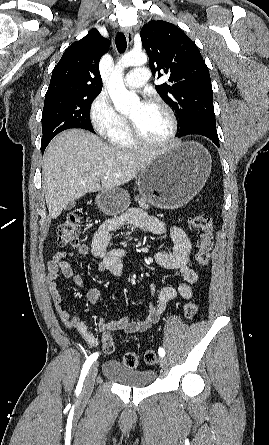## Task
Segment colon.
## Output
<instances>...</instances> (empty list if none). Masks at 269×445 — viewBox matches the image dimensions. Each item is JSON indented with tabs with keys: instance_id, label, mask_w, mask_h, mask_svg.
Listing matches in <instances>:
<instances>
[{
	"instance_id": "obj_1",
	"label": "colon",
	"mask_w": 269,
	"mask_h": 445,
	"mask_svg": "<svg viewBox=\"0 0 269 445\" xmlns=\"http://www.w3.org/2000/svg\"><path fill=\"white\" fill-rule=\"evenodd\" d=\"M84 217V211L77 209L68 212L62 222L57 228V240L58 244L62 247L76 246L79 243L81 235V224ZM190 225L195 230L200 232V238L197 243L196 261L198 265L205 268L211 257V251L213 248V231L214 224L209 216L198 214L194 215L190 219ZM198 311V306L193 303H187L184 306V315L187 319L195 317ZM114 341L110 334L103 337V349L106 353L114 351ZM158 358L153 350H148L144 354V362L148 365H153L157 362ZM123 364L129 368H137L139 365V357L135 352H126L122 358Z\"/></svg>"
}]
</instances>
